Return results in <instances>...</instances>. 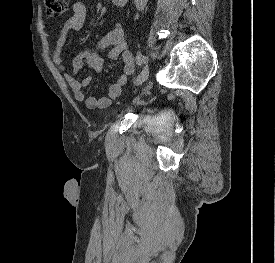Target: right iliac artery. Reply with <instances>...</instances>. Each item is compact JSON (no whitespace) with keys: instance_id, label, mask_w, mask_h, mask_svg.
Listing matches in <instances>:
<instances>
[{"instance_id":"1","label":"right iliac artery","mask_w":275,"mask_h":263,"mask_svg":"<svg viewBox=\"0 0 275 263\" xmlns=\"http://www.w3.org/2000/svg\"><path fill=\"white\" fill-rule=\"evenodd\" d=\"M145 62V58L141 53H138L136 56V63L142 65Z\"/></svg>"}]
</instances>
